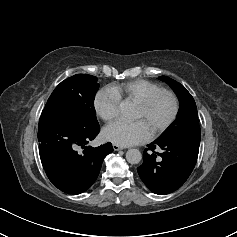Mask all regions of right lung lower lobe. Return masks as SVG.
Listing matches in <instances>:
<instances>
[{
    "instance_id": "1",
    "label": "right lung lower lobe",
    "mask_w": 237,
    "mask_h": 237,
    "mask_svg": "<svg viewBox=\"0 0 237 237\" xmlns=\"http://www.w3.org/2000/svg\"><path fill=\"white\" fill-rule=\"evenodd\" d=\"M99 131L100 127L76 131L58 121H39L40 158L55 187L69 194H79L95 182L105 156L113 151L111 143L96 148L85 146ZM79 147L84 148L82 154Z\"/></svg>"
}]
</instances>
